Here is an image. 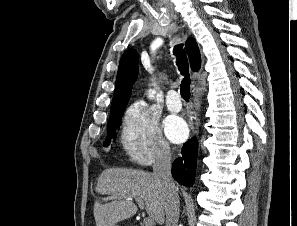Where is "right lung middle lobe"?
<instances>
[{
	"label": "right lung middle lobe",
	"instance_id": "right-lung-middle-lobe-1",
	"mask_svg": "<svg viewBox=\"0 0 297 226\" xmlns=\"http://www.w3.org/2000/svg\"><path fill=\"white\" fill-rule=\"evenodd\" d=\"M126 105L117 108H111L110 120L108 123V139L104 142L105 146L110 144V138L116 137L115 131L119 128L121 117L125 111Z\"/></svg>",
	"mask_w": 297,
	"mask_h": 226
}]
</instances>
